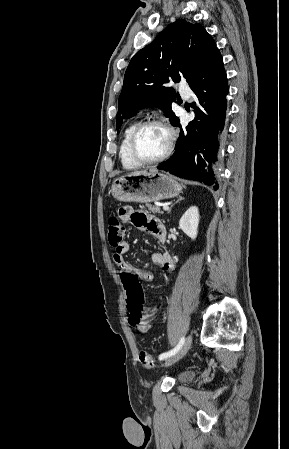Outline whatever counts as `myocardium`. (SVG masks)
<instances>
[{
    "instance_id": "myocardium-1",
    "label": "myocardium",
    "mask_w": 289,
    "mask_h": 449,
    "mask_svg": "<svg viewBox=\"0 0 289 449\" xmlns=\"http://www.w3.org/2000/svg\"><path fill=\"white\" fill-rule=\"evenodd\" d=\"M151 125H158L160 127H162L167 135H168V145L166 150L164 151V153L162 155H160L159 157L155 158V159H151V160H144L142 158H140L137 154L136 151V141L138 138V135L140 134V132ZM175 143H176V132L174 130V128L170 125V123L163 117H151L149 119H146L140 123H138V125L135 127V129L133 130L130 140H129V151H130V155L132 157V159L137 162L140 165H152V164H156V163H160L162 161H164L165 159H167L173 152L174 147H175Z\"/></svg>"
}]
</instances>
